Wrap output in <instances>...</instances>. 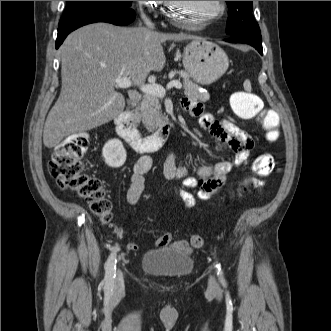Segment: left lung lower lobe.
Returning <instances> with one entry per match:
<instances>
[{
  "instance_id": "obj_1",
  "label": "left lung lower lobe",
  "mask_w": 331,
  "mask_h": 331,
  "mask_svg": "<svg viewBox=\"0 0 331 331\" xmlns=\"http://www.w3.org/2000/svg\"><path fill=\"white\" fill-rule=\"evenodd\" d=\"M227 42L232 43H246L253 47H255L258 52L263 55L262 49V38L260 32H252V33H242L237 35H232L229 38L225 39Z\"/></svg>"
}]
</instances>
